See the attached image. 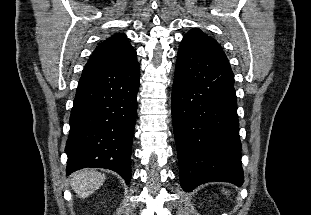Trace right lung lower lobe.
I'll use <instances>...</instances> for the list:
<instances>
[{"instance_id":"1","label":"right lung lower lobe","mask_w":311,"mask_h":215,"mask_svg":"<svg viewBox=\"0 0 311 215\" xmlns=\"http://www.w3.org/2000/svg\"><path fill=\"white\" fill-rule=\"evenodd\" d=\"M139 81L138 61L123 67H84L70 115L67 175L97 167L130 182Z\"/></svg>"}]
</instances>
